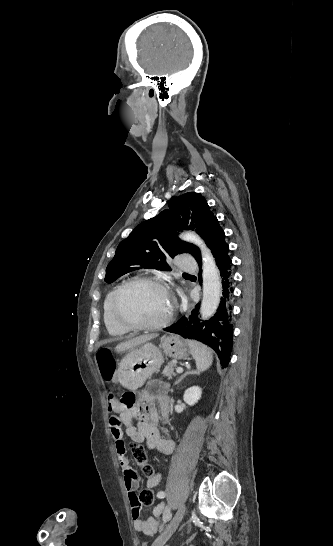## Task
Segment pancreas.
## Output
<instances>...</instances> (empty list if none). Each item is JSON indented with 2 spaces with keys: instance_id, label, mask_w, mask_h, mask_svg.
I'll return each instance as SVG.
<instances>
[{
  "instance_id": "pancreas-1",
  "label": "pancreas",
  "mask_w": 333,
  "mask_h": 546,
  "mask_svg": "<svg viewBox=\"0 0 333 546\" xmlns=\"http://www.w3.org/2000/svg\"><path fill=\"white\" fill-rule=\"evenodd\" d=\"M175 367H176L175 363L169 362L162 372L163 376L169 379H172L174 376H176V373L174 371Z\"/></svg>"
}]
</instances>
